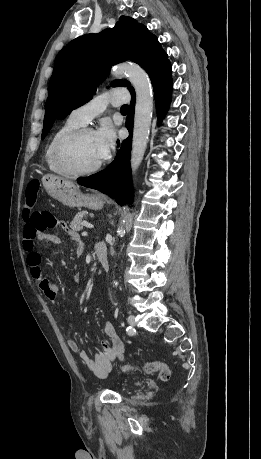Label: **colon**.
Segmentation results:
<instances>
[{
    "instance_id": "1",
    "label": "colon",
    "mask_w": 261,
    "mask_h": 459,
    "mask_svg": "<svg viewBox=\"0 0 261 459\" xmlns=\"http://www.w3.org/2000/svg\"><path fill=\"white\" fill-rule=\"evenodd\" d=\"M40 190L38 180L28 183L25 192L24 216L20 221L23 226L21 235L23 238H35L36 232L45 231L49 228L62 226L63 222L48 211H32ZM123 371H142L147 374L158 373L161 380L166 381L170 377L169 367L161 361L147 362L142 367L125 364L121 366Z\"/></svg>"
}]
</instances>
